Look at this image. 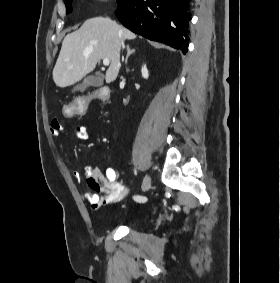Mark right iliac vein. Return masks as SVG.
Instances as JSON below:
<instances>
[{"mask_svg": "<svg viewBox=\"0 0 280 283\" xmlns=\"http://www.w3.org/2000/svg\"><path fill=\"white\" fill-rule=\"evenodd\" d=\"M151 187V179L148 175L144 178L143 184H142V190L147 191Z\"/></svg>", "mask_w": 280, "mask_h": 283, "instance_id": "right-iliac-vein-1", "label": "right iliac vein"}]
</instances>
